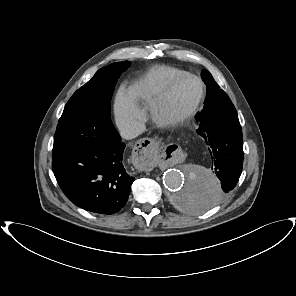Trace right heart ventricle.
<instances>
[{
    "mask_svg": "<svg viewBox=\"0 0 296 296\" xmlns=\"http://www.w3.org/2000/svg\"><path fill=\"white\" fill-rule=\"evenodd\" d=\"M184 73L173 66L155 65L131 85L127 95L139 109L149 108L167 84Z\"/></svg>",
    "mask_w": 296,
    "mask_h": 296,
    "instance_id": "e07e8e85",
    "label": "right heart ventricle"
}]
</instances>
